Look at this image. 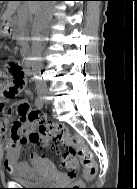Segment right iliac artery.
<instances>
[{
  "instance_id": "1",
  "label": "right iliac artery",
  "mask_w": 137,
  "mask_h": 189,
  "mask_svg": "<svg viewBox=\"0 0 137 189\" xmlns=\"http://www.w3.org/2000/svg\"><path fill=\"white\" fill-rule=\"evenodd\" d=\"M36 106H37L38 108H42V107H43V102H42V99H41V98H38V99L36 100Z\"/></svg>"
}]
</instances>
